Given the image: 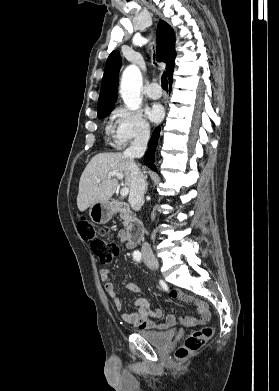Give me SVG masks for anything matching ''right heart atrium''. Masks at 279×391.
I'll list each match as a JSON object with an SVG mask.
<instances>
[{
	"mask_svg": "<svg viewBox=\"0 0 279 391\" xmlns=\"http://www.w3.org/2000/svg\"><path fill=\"white\" fill-rule=\"evenodd\" d=\"M150 125L141 111L118 106L112 113L111 137L115 148L121 149L133 141L149 137Z\"/></svg>",
	"mask_w": 279,
	"mask_h": 391,
	"instance_id": "obj_1",
	"label": "right heart atrium"
}]
</instances>
